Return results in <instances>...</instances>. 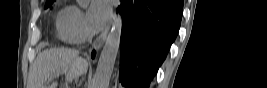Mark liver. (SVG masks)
Wrapping results in <instances>:
<instances>
[{"label":"liver","instance_id":"obj_1","mask_svg":"<svg viewBox=\"0 0 267 88\" xmlns=\"http://www.w3.org/2000/svg\"><path fill=\"white\" fill-rule=\"evenodd\" d=\"M88 63L79 56L76 50L49 49L40 53L33 63L29 76L28 88H57V83L45 86L47 80L55 77V73H64L68 70L69 81L77 80L87 72Z\"/></svg>","mask_w":267,"mask_h":88}]
</instances>
